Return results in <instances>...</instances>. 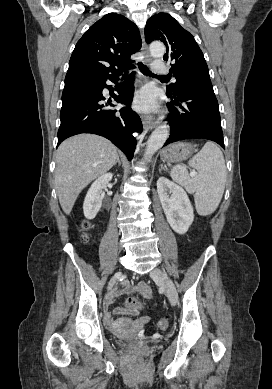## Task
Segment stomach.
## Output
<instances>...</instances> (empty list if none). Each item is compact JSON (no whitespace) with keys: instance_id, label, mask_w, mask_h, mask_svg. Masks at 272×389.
Listing matches in <instances>:
<instances>
[{"instance_id":"obj_1","label":"stomach","mask_w":272,"mask_h":389,"mask_svg":"<svg viewBox=\"0 0 272 389\" xmlns=\"http://www.w3.org/2000/svg\"><path fill=\"white\" fill-rule=\"evenodd\" d=\"M194 152V146L187 142L171 144L163 149L161 158L167 162H180L186 160Z\"/></svg>"}]
</instances>
